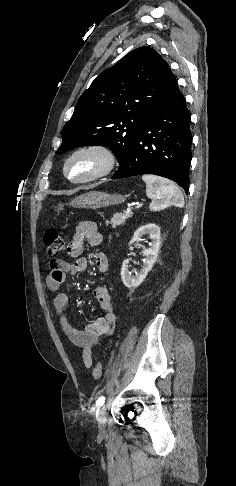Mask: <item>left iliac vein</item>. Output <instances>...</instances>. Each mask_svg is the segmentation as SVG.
I'll return each instance as SVG.
<instances>
[{"instance_id": "left-iliac-vein-1", "label": "left iliac vein", "mask_w": 236, "mask_h": 486, "mask_svg": "<svg viewBox=\"0 0 236 486\" xmlns=\"http://www.w3.org/2000/svg\"><path fill=\"white\" fill-rule=\"evenodd\" d=\"M106 410L107 408L105 405L101 406L98 410V428L100 432H104L106 428V422H107Z\"/></svg>"}]
</instances>
